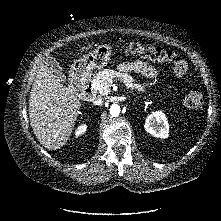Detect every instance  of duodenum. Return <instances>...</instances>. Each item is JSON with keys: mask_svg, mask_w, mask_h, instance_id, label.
Segmentation results:
<instances>
[{"mask_svg": "<svg viewBox=\"0 0 221 221\" xmlns=\"http://www.w3.org/2000/svg\"><path fill=\"white\" fill-rule=\"evenodd\" d=\"M82 97L87 101H92L95 98V91L92 84L89 81H86L81 89Z\"/></svg>", "mask_w": 221, "mask_h": 221, "instance_id": "410a0bca", "label": "duodenum"}]
</instances>
